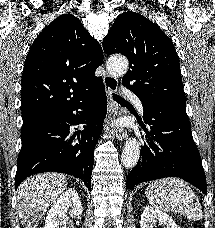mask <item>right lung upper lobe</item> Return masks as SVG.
<instances>
[{"label": "right lung upper lobe", "instance_id": "cb5924a9", "mask_svg": "<svg viewBox=\"0 0 215 228\" xmlns=\"http://www.w3.org/2000/svg\"><path fill=\"white\" fill-rule=\"evenodd\" d=\"M103 51L72 14L52 21L33 42L22 74L23 124L47 119L97 79Z\"/></svg>", "mask_w": 215, "mask_h": 228}]
</instances>
